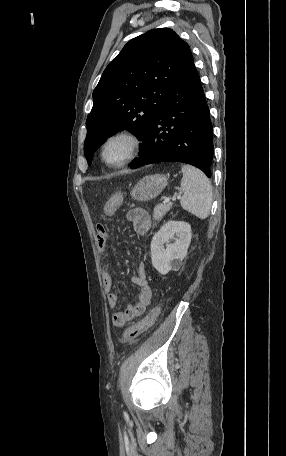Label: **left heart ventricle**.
<instances>
[{"instance_id": "b2bd125f", "label": "left heart ventricle", "mask_w": 286, "mask_h": 456, "mask_svg": "<svg viewBox=\"0 0 286 456\" xmlns=\"http://www.w3.org/2000/svg\"><path fill=\"white\" fill-rule=\"evenodd\" d=\"M132 142L125 137L113 139L106 147L105 159L110 163H118L129 156Z\"/></svg>"}]
</instances>
